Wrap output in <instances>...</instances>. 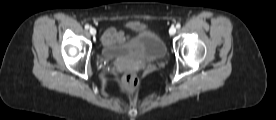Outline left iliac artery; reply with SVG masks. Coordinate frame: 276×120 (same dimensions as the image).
I'll list each match as a JSON object with an SVG mask.
<instances>
[{
    "label": "left iliac artery",
    "instance_id": "44dca946",
    "mask_svg": "<svg viewBox=\"0 0 276 120\" xmlns=\"http://www.w3.org/2000/svg\"><path fill=\"white\" fill-rule=\"evenodd\" d=\"M180 27H181V24H180V23H177V24H176V28L179 29Z\"/></svg>",
    "mask_w": 276,
    "mask_h": 120
}]
</instances>
